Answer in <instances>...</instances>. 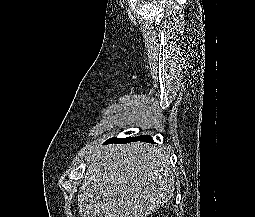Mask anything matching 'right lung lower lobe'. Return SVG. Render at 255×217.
Wrapping results in <instances>:
<instances>
[{
	"mask_svg": "<svg viewBox=\"0 0 255 217\" xmlns=\"http://www.w3.org/2000/svg\"><path fill=\"white\" fill-rule=\"evenodd\" d=\"M134 141H143L147 143L153 142V139L148 135H141L138 137H128V138H110L105 142V144L109 143H128V142H134Z\"/></svg>",
	"mask_w": 255,
	"mask_h": 217,
	"instance_id": "right-lung-lower-lobe-1",
	"label": "right lung lower lobe"
}]
</instances>
